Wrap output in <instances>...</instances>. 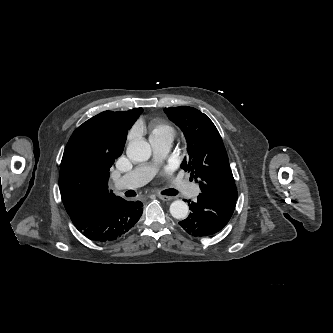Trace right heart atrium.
Listing matches in <instances>:
<instances>
[{
    "instance_id": "right-heart-atrium-1",
    "label": "right heart atrium",
    "mask_w": 333,
    "mask_h": 333,
    "mask_svg": "<svg viewBox=\"0 0 333 333\" xmlns=\"http://www.w3.org/2000/svg\"><path fill=\"white\" fill-rule=\"evenodd\" d=\"M136 133H137L136 128L131 129V131L128 134V140L130 141L134 139L136 137Z\"/></svg>"
}]
</instances>
